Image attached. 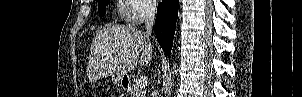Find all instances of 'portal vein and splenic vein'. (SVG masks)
Here are the masks:
<instances>
[{
    "mask_svg": "<svg viewBox=\"0 0 302 97\" xmlns=\"http://www.w3.org/2000/svg\"><path fill=\"white\" fill-rule=\"evenodd\" d=\"M147 85V78L146 77H140L137 81V86L140 88H145Z\"/></svg>",
    "mask_w": 302,
    "mask_h": 97,
    "instance_id": "obj_1",
    "label": "portal vein and splenic vein"
}]
</instances>
